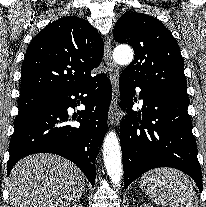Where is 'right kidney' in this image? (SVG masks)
<instances>
[{"label": "right kidney", "mask_w": 206, "mask_h": 207, "mask_svg": "<svg viewBox=\"0 0 206 207\" xmlns=\"http://www.w3.org/2000/svg\"><path fill=\"white\" fill-rule=\"evenodd\" d=\"M72 207H83V204H74Z\"/></svg>", "instance_id": "ca27d5eb"}]
</instances>
